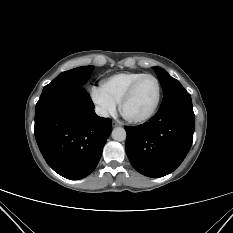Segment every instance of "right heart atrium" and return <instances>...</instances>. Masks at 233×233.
<instances>
[{
	"instance_id": "d8ad5b80",
	"label": "right heart atrium",
	"mask_w": 233,
	"mask_h": 233,
	"mask_svg": "<svg viewBox=\"0 0 233 233\" xmlns=\"http://www.w3.org/2000/svg\"><path fill=\"white\" fill-rule=\"evenodd\" d=\"M89 94L101 115L107 116L115 112L119 101L113 96L105 83L92 86Z\"/></svg>"
}]
</instances>
